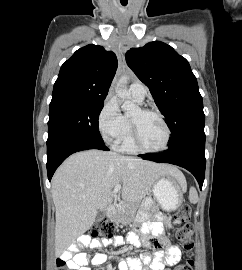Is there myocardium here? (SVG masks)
Wrapping results in <instances>:
<instances>
[{
    "label": "myocardium",
    "instance_id": "obj_1",
    "mask_svg": "<svg viewBox=\"0 0 242 270\" xmlns=\"http://www.w3.org/2000/svg\"><path fill=\"white\" fill-rule=\"evenodd\" d=\"M139 112L142 115H149L150 114V115L157 116L165 128L166 135H165V141H164L163 145L159 148L150 149V148L143 146V144L141 143V140H140L138 123L134 118L131 117L130 118L131 135H132V142H133L135 149L139 152H142V153H160V152L167 150L169 147L170 141H171V129H170V126H169L168 122L166 121L165 117L163 116V114L156 109H150V108H140Z\"/></svg>",
    "mask_w": 242,
    "mask_h": 270
}]
</instances>
